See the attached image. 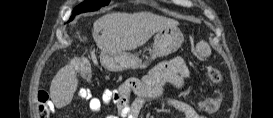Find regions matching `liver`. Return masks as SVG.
Instances as JSON below:
<instances>
[{
	"label": "liver",
	"mask_w": 273,
	"mask_h": 118,
	"mask_svg": "<svg viewBox=\"0 0 273 118\" xmlns=\"http://www.w3.org/2000/svg\"><path fill=\"white\" fill-rule=\"evenodd\" d=\"M178 24L176 20L149 12H115L102 16L94 23L93 38L102 52L114 54L134 50L144 45L160 29L176 27ZM77 86L74 68L70 65L61 68L50 86L54 105L57 108L68 105Z\"/></svg>",
	"instance_id": "obj_1"
}]
</instances>
